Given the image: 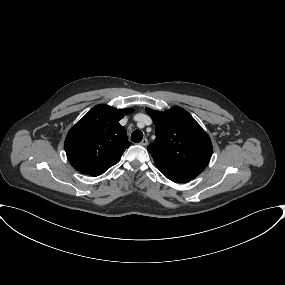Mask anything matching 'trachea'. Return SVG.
Listing matches in <instances>:
<instances>
[{
	"mask_svg": "<svg viewBox=\"0 0 285 285\" xmlns=\"http://www.w3.org/2000/svg\"><path fill=\"white\" fill-rule=\"evenodd\" d=\"M143 138V133L140 130H134L131 134V141L138 143L142 140Z\"/></svg>",
	"mask_w": 285,
	"mask_h": 285,
	"instance_id": "trachea-1",
	"label": "trachea"
}]
</instances>
